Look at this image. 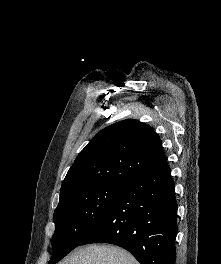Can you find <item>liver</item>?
<instances>
[{
	"mask_svg": "<svg viewBox=\"0 0 221 264\" xmlns=\"http://www.w3.org/2000/svg\"><path fill=\"white\" fill-rule=\"evenodd\" d=\"M59 264H139L126 250L111 245L77 249Z\"/></svg>",
	"mask_w": 221,
	"mask_h": 264,
	"instance_id": "liver-1",
	"label": "liver"
}]
</instances>
